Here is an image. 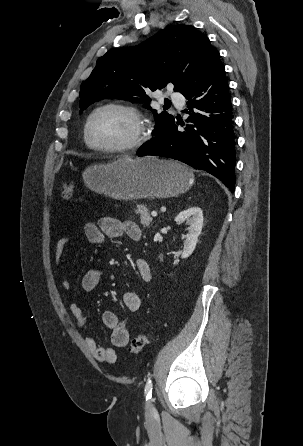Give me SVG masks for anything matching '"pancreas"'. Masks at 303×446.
<instances>
[{
	"instance_id": "pancreas-1",
	"label": "pancreas",
	"mask_w": 303,
	"mask_h": 446,
	"mask_svg": "<svg viewBox=\"0 0 303 446\" xmlns=\"http://www.w3.org/2000/svg\"><path fill=\"white\" fill-rule=\"evenodd\" d=\"M136 213L140 215V222L143 227H148L152 222L148 208L144 204L137 205Z\"/></svg>"
}]
</instances>
